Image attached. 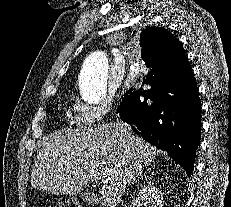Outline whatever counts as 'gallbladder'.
Instances as JSON below:
<instances>
[{
  "label": "gallbladder",
  "mask_w": 231,
  "mask_h": 207,
  "mask_svg": "<svg viewBox=\"0 0 231 207\" xmlns=\"http://www.w3.org/2000/svg\"><path fill=\"white\" fill-rule=\"evenodd\" d=\"M82 200L90 206H96L99 203V200L94 194L91 193H83L80 195Z\"/></svg>",
  "instance_id": "obj_1"
}]
</instances>
